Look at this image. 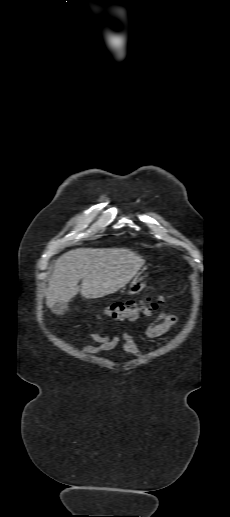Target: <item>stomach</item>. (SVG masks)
Listing matches in <instances>:
<instances>
[{"instance_id": "0dacf381", "label": "stomach", "mask_w": 230, "mask_h": 517, "mask_svg": "<svg viewBox=\"0 0 230 517\" xmlns=\"http://www.w3.org/2000/svg\"><path fill=\"white\" fill-rule=\"evenodd\" d=\"M146 282V276L136 277L128 286L127 293L129 295L140 293L146 286Z\"/></svg>"}]
</instances>
